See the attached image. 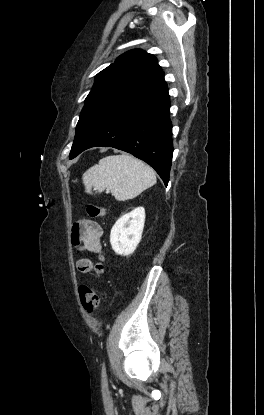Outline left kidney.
<instances>
[{
  "label": "left kidney",
  "instance_id": "1",
  "mask_svg": "<svg viewBox=\"0 0 264 415\" xmlns=\"http://www.w3.org/2000/svg\"><path fill=\"white\" fill-rule=\"evenodd\" d=\"M145 223V209L138 207L121 216L111 229L110 243L118 255L132 254L139 244Z\"/></svg>",
  "mask_w": 264,
  "mask_h": 415
}]
</instances>
